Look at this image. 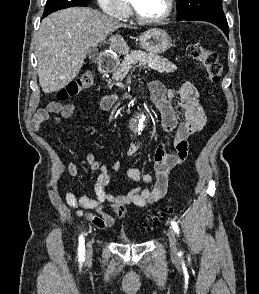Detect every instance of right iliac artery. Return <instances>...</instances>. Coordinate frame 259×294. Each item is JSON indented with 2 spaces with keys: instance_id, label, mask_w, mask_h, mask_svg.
I'll return each instance as SVG.
<instances>
[{
  "instance_id": "1",
  "label": "right iliac artery",
  "mask_w": 259,
  "mask_h": 294,
  "mask_svg": "<svg viewBox=\"0 0 259 294\" xmlns=\"http://www.w3.org/2000/svg\"><path fill=\"white\" fill-rule=\"evenodd\" d=\"M84 235L79 237V246H78V261L83 262L85 260V245H84Z\"/></svg>"
}]
</instances>
